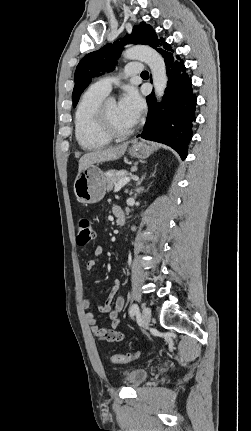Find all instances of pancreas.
I'll use <instances>...</instances> for the list:
<instances>
[{
  "mask_svg": "<svg viewBox=\"0 0 251 431\" xmlns=\"http://www.w3.org/2000/svg\"><path fill=\"white\" fill-rule=\"evenodd\" d=\"M129 173L126 170H122L119 172L108 171L106 176V189L107 191H111L114 186L119 182V180L125 178Z\"/></svg>",
  "mask_w": 251,
  "mask_h": 431,
  "instance_id": "obj_1",
  "label": "pancreas"
}]
</instances>
